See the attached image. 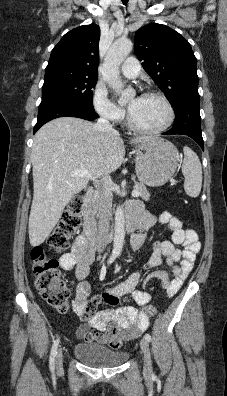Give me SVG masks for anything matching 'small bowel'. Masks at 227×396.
Listing matches in <instances>:
<instances>
[{
  "mask_svg": "<svg viewBox=\"0 0 227 396\" xmlns=\"http://www.w3.org/2000/svg\"><path fill=\"white\" fill-rule=\"evenodd\" d=\"M128 214L134 215L138 221V232L131 238V247L134 251L143 247L147 238L146 232L157 224L166 225L172 233L171 241L154 243L152 256L144 265L145 270H152L165 259L171 267V275L162 270L152 271L146 277L144 286L148 287L151 283L158 282L166 295L176 294L191 272L201 249L197 233L193 229L183 228L182 222L168 211L163 212L159 217L144 211L138 201L130 203ZM88 248L83 236L80 235L75 239L72 249L59 259L61 268L74 269L79 280L72 304L74 311L84 318V323L78 327L76 335L85 341L107 344L116 350L124 341L136 339L148 328V316L134 306H121L96 312L98 306L102 301L116 305L124 296H130L137 306H145L150 302L151 296L147 291L136 289L141 273L134 272L126 280L108 286L101 297L88 300L91 287L85 278L95 259L94 252Z\"/></svg>",
  "mask_w": 227,
  "mask_h": 396,
  "instance_id": "small-bowel-1",
  "label": "small bowel"
}]
</instances>
